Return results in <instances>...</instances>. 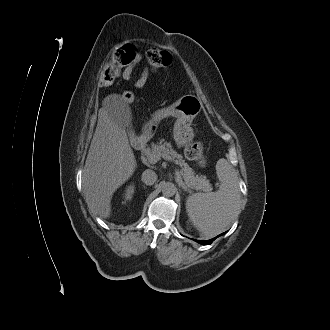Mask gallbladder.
Returning a JSON list of instances; mask_svg holds the SVG:
<instances>
[{"label": "gallbladder", "instance_id": "1", "mask_svg": "<svg viewBox=\"0 0 330 330\" xmlns=\"http://www.w3.org/2000/svg\"><path fill=\"white\" fill-rule=\"evenodd\" d=\"M115 112L118 116L119 122L121 126L126 129V131L129 133L132 131V112L129 107L124 102H120V104L115 108Z\"/></svg>", "mask_w": 330, "mask_h": 330}]
</instances>
